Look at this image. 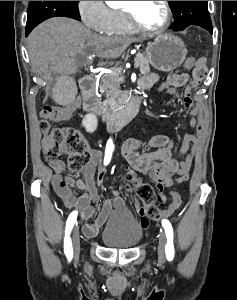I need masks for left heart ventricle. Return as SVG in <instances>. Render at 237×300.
<instances>
[{
  "instance_id": "1",
  "label": "left heart ventricle",
  "mask_w": 237,
  "mask_h": 300,
  "mask_svg": "<svg viewBox=\"0 0 237 300\" xmlns=\"http://www.w3.org/2000/svg\"><path fill=\"white\" fill-rule=\"evenodd\" d=\"M124 6H132L138 21L148 28H158L165 20L163 1H124Z\"/></svg>"
}]
</instances>
